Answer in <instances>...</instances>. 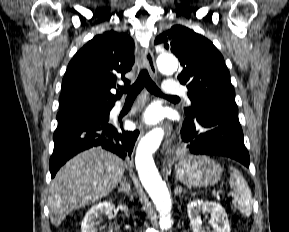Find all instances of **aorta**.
Instances as JSON below:
<instances>
[{
	"mask_svg": "<svg viewBox=\"0 0 289 232\" xmlns=\"http://www.w3.org/2000/svg\"><path fill=\"white\" fill-rule=\"evenodd\" d=\"M178 68L173 56H162L158 61L160 72L170 75ZM164 136V130L156 128L146 134L139 142L136 150L135 164L140 181L151 197L160 213V228L167 230L172 227L170 217L171 200L165 182L159 175L153 160V153L158 149Z\"/></svg>",
	"mask_w": 289,
	"mask_h": 232,
	"instance_id": "aorta-1",
	"label": "aorta"
}]
</instances>
